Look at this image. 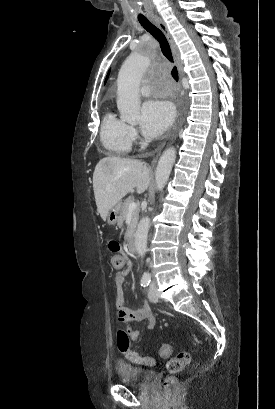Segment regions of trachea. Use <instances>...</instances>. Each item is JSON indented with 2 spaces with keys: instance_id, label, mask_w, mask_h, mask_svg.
Returning a JSON list of instances; mask_svg holds the SVG:
<instances>
[{
  "instance_id": "trachea-1",
  "label": "trachea",
  "mask_w": 275,
  "mask_h": 409,
  "mask_svg": "<svg viewBox=\"0 0 275 409\" xmlns=\"http://www.w3.org/2000/svg\"><path fill=\"white\" fill-rule=\"evenodd\" d=\"M138 21L140 22L142 27L145 28V30H147V32H149L154 38H156V40H158L163 55L169 61L173 62L171 48H170L169 43L167 41V38L165 37L163 32L159 28H157L155 25H153V23L149 22V20H147V19H140ZM171 75L178 82L179 75H178L176 67H173V69L171 71Z\"/></svg>"
}]
</instances>
